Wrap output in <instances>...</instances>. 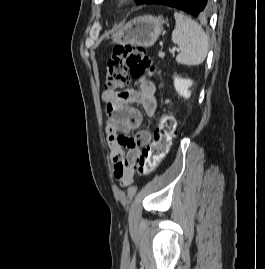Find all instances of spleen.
Instances as JSON below:
<instances>
[{"label": "spleen", "mask_w": 265, "mask_h": 269, "mask_svg": "<svg viewBox=\"0 0 265 269\" xmlns=\"http://www.w3.org/2000/svg\"><path fill=\"white\" fill-rule=\"evenodd\" d=\"M175 29L172 32V41L180 48L176 56L178 64L195 66L206 59L209 38L202 27L189 16L174 12Z\"/></svg>", "instance_id": "3e777b00"}]
</instances>
